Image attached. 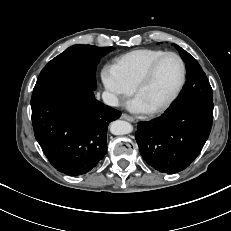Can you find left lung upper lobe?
Returning <instances> with one entry per match:
<instances>
[{
	"instance_id": "obj_1",
	"label": "left lung upper lobe",
	"mask_w": 231,
	"mask_h": 231,
	"mask_svg": "<svg viewBox=\"0 0 231 231\" xmlns=\"http://www.w3.org/2000/svg\"><path fill=\"white\" fill-rule=\"evenodd\" d=\"M172 45L178 49L187 71V82L174 103L191 99L213 101L212 88L197 60L176 44Z\"/></svg>"
}]
</instances>
